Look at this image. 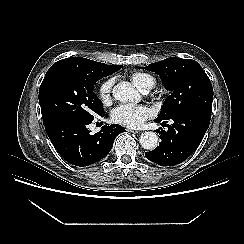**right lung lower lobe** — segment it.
<instances>
[{
	"instance_id": "98d812e1",
	"label": "right lung lower lobe",
	"mask_w": 244,
	"mask_h": 244,
	"mask_svg": "<svg viewBox=\"0 0 244 244\" xmlns=\"http://www.w3.org/2000/svg\"><path fill=\"white\" fill-rule=\"evenodd\" d=\"M92 121L64 118L44 124L53 146L70 164L84 167L100 161L112 149L116 136L125 131L122 126L112 124L91 134L88 125Z\"/></svg>"
}]
</instances>
